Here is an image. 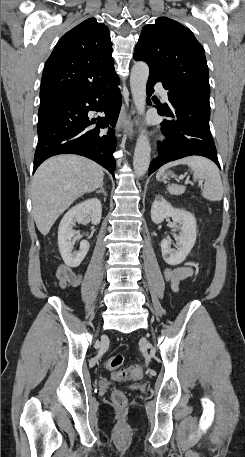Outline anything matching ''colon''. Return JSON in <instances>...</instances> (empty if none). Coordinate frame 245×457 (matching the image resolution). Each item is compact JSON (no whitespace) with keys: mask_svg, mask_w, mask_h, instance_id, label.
<instances>
[{"mask_svg":"<svg viewBox=\"0 0 245 457\" xmlns=\"http://www.w3.org/2000/svg\"><path fill=\"white\" fill-rule=\"evenodd\" d=\"M124 361L125 358L121 354H116L106 361L105 367L112 372V378L115 381L139 380L143 376L142 365L134 363L128 368H123ZM112 402L115 407L122 409L126 407L128 400L123 391L115 389L112 392Z\"/></svg>","mask_w":245,"mask_h":457,"instance_id":"colon-1","label":"colon"}]
</instances>
